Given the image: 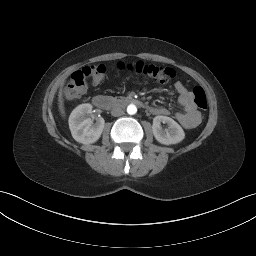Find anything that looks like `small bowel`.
<instances>
[{
	"label": "small bowel",
	"mask_w": 256,
	"mask_h": 256,
	"mask_svg": "<svg viewBox=\"0 0 256 256\" xmlns=\"http://www.w3.org/2000/svg\"><path fill=\"white\" fill-rule=\"evenodd\" d=\"M178 94V102L183 112L176 114L178 122L187 129L196 127L201 120L200 112L194 103L193 93L187 89L182 82H176L174 85ZM151 113L155 115H168L169 110L162 106H153L150 108Z\"/></svg>",
	"instance_id": "small-bowel-1"
}]
</instances>
